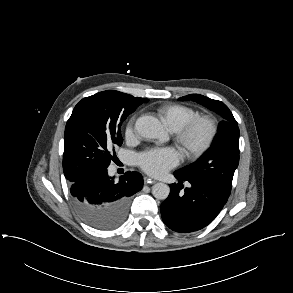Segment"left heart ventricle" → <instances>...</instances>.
<instances>
[{"label": "left heart ventricle", "instance_id": "obj_1", "mask_svg": "<svg viewBox=\"0 0 293 293\" xmlns=\"http://www.w3.org/2000/svg\"><path fill=\"white\" fill-rule=\"evenodd\" d=\"M205 135V129L203 127L198 128L192 135L191 141L194 144L201 142Z\"/></svg>", "mask_w": 293, "mask_h": 293}]
</instances>
